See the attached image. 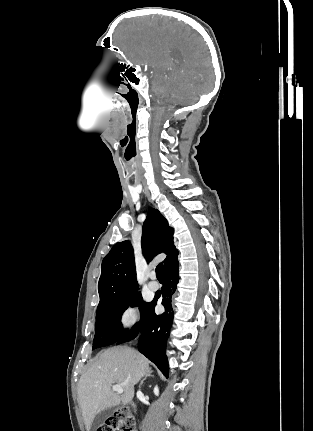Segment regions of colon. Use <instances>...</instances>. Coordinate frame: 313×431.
<instances>
[{
	"instance_id": "colon-1",
	"label": "colon",
	"mask_w": 313,
	"mask_h": 431,
	"mask_svg": "<svg viewBox=\"0 0 313 431\" xmlns=\"http://www.w3.org/2000/svg\"><path fill=\"white\" fill-rule=\"evenodd\" d=\"M97 431H135V417L128 407H119Z\"/></svg>"
}]
</instances>
